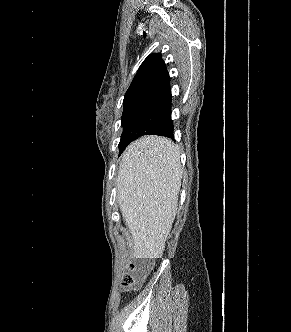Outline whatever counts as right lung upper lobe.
Segmentation results:
<instances>
[{
    "mask_svg": "<svg viewBox=\"0 0 291 332\" xmlns=\"http://www.w3.org/2000/svg\"><path fill=\"white\" fill-rule=\"evenodd\" d=\"M169 81L170 77L161 54H151L139 67L124 99L137 96L147 97Z\"/></svg>",
    "mask_w": 291,
    "mask_h": 332,
    "instance_id": "1",
    "label": "right lung upper lobe"
}]
</instances>
